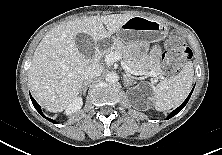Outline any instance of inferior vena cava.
<instances>
[{
    "label": "inferior vena cava",
    "mask_w": 222,
    "mask_h": 155,
    "mask_svg": "<svg viewBox=\"0 0 222 155\" xmlns=\"http://www.w3.org/2000/svg\"><path fill=\"white\" fill-rule=\"evenodd\" d=\"M103 71V67L99 64L92 63L89 66L86 67L84 70V79L85 80H91L93 78H96L101 75Z\"/></svg>",
    "instance_id": "inferior-vena-cava-1"
}]
</instances>
